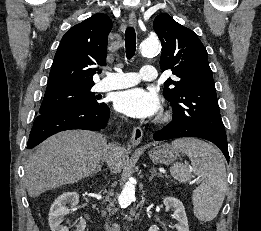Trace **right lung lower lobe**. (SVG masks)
Returning <instances> with one entry per match:
<instances>
[{"label":"right lung lower lobe","instance_id":"right-lung-lower-lobe-1","mask_svg":"<svg viewBox=\"0 0 261 231\" xmlns=\"http://www.w3.org/2000/svg\"><path fill=\"white\" fill-rule=\"evenodd\" d=\"M110 111L105 103L95 107L69 108L36 117L28 140V149L64 130H99L107 125Z\"/></svg>","mask_w":261,"mask_h":231}]
</instances>
